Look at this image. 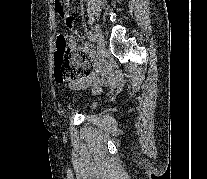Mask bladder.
I'll return each mask as SVG.
<instances>
[{
  "label": "bladder",
  "mask_w": 207,
  "mask_h": 179,
  "mask_svg": "<svg viewBox=\"0 0 207 179\" xmlns=\"http://www.w3.org/2000/svg\"><path fill=\"white\" fill-rule=\"evenodd\" d=\"M84 106L87 107V108H91V107L94 106V102L93 101H89V102L85 103Z\"/></svg>",
  "instance_id": "obj_1"
}]
</instances>
